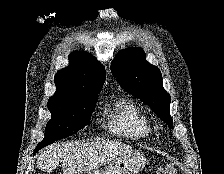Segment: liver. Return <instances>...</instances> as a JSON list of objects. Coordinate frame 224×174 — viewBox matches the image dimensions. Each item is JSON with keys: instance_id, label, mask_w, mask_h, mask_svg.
<instances>
[{"instance_id": "6515ba94", "label": "liver", "mask_w": 224, "mask_h": 174, "mask_svg": "<svg viewBox=\"0 0 224 174\" xmlns=\"http://www.w3.org/2000/svg\"><path fill=\"white\" fill-rule=\"evenodd\" d=\"M132 151L117 141L55 143L40 153L37 168L51 172L62 163L63 174H85Z\"/></svg>"}]
</instances>
